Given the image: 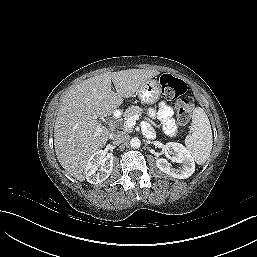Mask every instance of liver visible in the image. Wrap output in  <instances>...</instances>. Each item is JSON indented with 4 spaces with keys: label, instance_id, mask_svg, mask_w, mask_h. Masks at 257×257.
<instances>
[{
    "label": "liver",
    "instance_id": "1",
    "mask_svg": "<svg viewBox=\"0 0 257 257\" xmlns=\"http://www.w3.org/2000/svg\"><path fill=\"white\" fill-rule=\"evenodd\" d=\"M159 74L144 69L106 72L84 80L64 96L55 120L54 147L59 163L71 176L84 181L88 159L108 140L109 130L97 117L111 115L124 98Z\"/></svg>",
    "mask_w": 257,
    "mask_h": 257
}]
</instances>
